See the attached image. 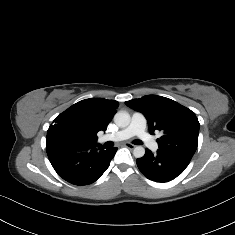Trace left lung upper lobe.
<instances>
[{
  "label": "left lung upper lobe",
  "mask_w": 235,
  "mask_h": 235,
  "mask_svg": "<svg viewBox=\"0 0 235 235\" xmlns=\"http://www.w3.org/2000/svg\"><path fill=\"white\" fill-rule=\"evenodd\" d=\"M125 104L144 114L149 132H162L157 139L159 149L191 159L197 149L199 121L193 111L174 100L157 95H147Z\"/></svg>",
  "instance_id": "obj_1"
}]
</instances>
